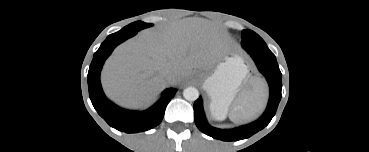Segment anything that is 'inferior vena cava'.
I'll return each instance as SVG.
<instances>
[{
	"mask_svg": "<svg viewBox=\"0 0 369 152\" xmlns=\"http://www.w3.org/2000/svg\"><path fill=\"white\" fill-rule=\"evenodd\" d=\"M167 80H168V81H171V80H172V74H171V73H168V75H167Z\"/></svg>",
	"mask_w": 369,
	"mask_h": 152,
	"instance_id": "inferior-vena-cava-1",
	"label": "inferior vena cava"
}]
</instances>
